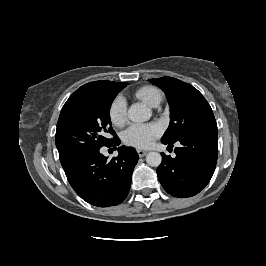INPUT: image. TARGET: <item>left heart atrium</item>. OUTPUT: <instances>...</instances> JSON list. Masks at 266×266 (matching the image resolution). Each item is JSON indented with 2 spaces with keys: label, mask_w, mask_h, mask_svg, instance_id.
I'll return each mask as SVG.
<instances>
[{
  "label": "left heart atrium",
  "mask_w": 266,
  "mask_h": 266,
  "mask_svg": "<svg viewBox=\"0 0 266 266\" xmlns=\"http://www.w3.org/2000/svg\"><path fill=\"white\" fill-rule=\"evenodd\" d=\"M160 133L161 128L156 123L133 124L123 133V141L128 146L148 148Z\"/></svg>",
  "instance_id": "left-heart-atrium-1"
}]
</instances>
